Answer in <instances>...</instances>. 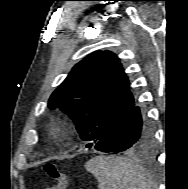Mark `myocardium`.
I'll list each match as a JSON object with an SVG mask.
<instances>
[{
  "label": "myocardium",
  "mask_w": 188,
  "mask_h": 189,
  "mask_svg": "<svg viewBox=\"0 0 188 189\" xmlns=\"http://www.w3.org/2000/svg\"><path fill=\"white\" fill-rule=\"evenodd\" d=\"M60 125H61V121H58L56 123H52L50 125V128L55 129V128H58Z\"/></svg>",
  "instance_id": "myocardium-1"
}]
</instances>
